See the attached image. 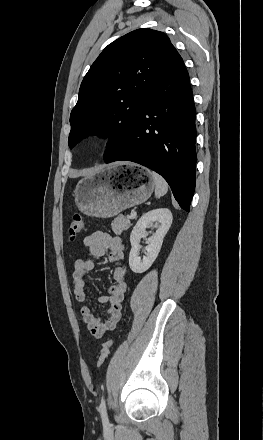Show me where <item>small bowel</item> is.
Segmentation results:
<instances>
[{
    "label": "small bowel",
    "mask_w": 263,
    "mask_h": 440,
    "mask_svg": "<svg viewBox=\"0 0 263 440\" xmlns=\"http://www.w3.org/2000/svg\"><path fill=\"white\" fill-rule=\"evenodd\" d=\"M83 246L93 258L107 255L108 261L115 265L113 271L114 284L108 288L107 294L99 298L102 304H109L105 319L96 316L92 306H82L80 315L88 331L95 338H100L115 329L120 318L122 302L127 291V268L125 265V245L120 237H114L103 231H96L84 237ZM97 269L90 257H83L75 262L73 272V293L77 302H83L88 296L86 279L89 272Z\"/></svg>",
    "instance_id": "1"
}]
</instances>
